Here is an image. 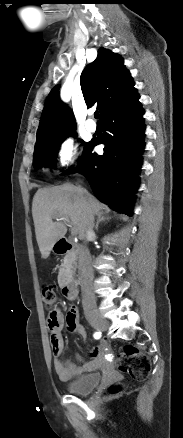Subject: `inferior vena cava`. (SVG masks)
I'll return each mask as SVG.
<instances>
[{
    "label": "inferior vena cava",
    "mask_w": 183,
    "mask_h": 438,
    "mask_svg": "<svg viewBox=\"0 0 183 438\" xmlns=\"http://www.w3.org/2000/svg\"><path fill=\"white\" fill-rule=\"evenodd\" d=\"M94 219L90 218L87 224L86 234L84 237L85 246L80 250L78 256L79 269L83 278V308L84 310L92 309L96 307V300L94 293L92 291V281H93V269L91 265L90 252L86 246V243L93 238L94 231Z\"/></svg>",
    "instance_id": "1"
}]
</instances>
